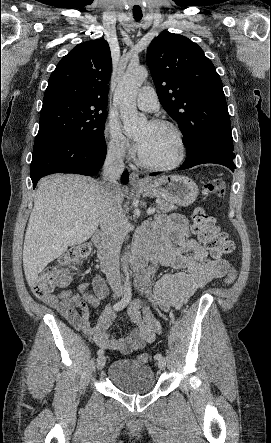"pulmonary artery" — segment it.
<instances>
[{
  "mask_svg": "<svg viewBox=\"0 0 271 443\" xmlns=\"http://www.w3.org/2000/svg\"><path fill=\"white\" fill-rule=\"evenodd\" d=\"M137 106L147 112L159 109V102L154 89L150 86L142 87L136 95Z\"/></svg>",
  "mask_w": 271,
  "mask_h": 443,
  "instance_id": "obj_1",
  "label": "pulmonary artery"
}]
</instances>
